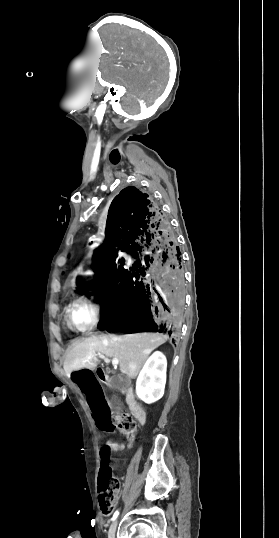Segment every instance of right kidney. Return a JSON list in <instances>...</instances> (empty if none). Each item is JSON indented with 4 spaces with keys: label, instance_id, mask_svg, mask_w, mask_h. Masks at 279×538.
Listing matches in <instances>:
<instances>
[{
    "label": "right kidney",
    "instance_id": "ca27d5eb",
    "mask_svg": "<svg viewBox=\"0 0 279 538\" xmlns=\"http://www.w3.org/2000/svg\"><path fill=\"white\" fill-rule=\"evenodd\" d=\"M167 360L162 352H154L142 368L136 384V394L146 404L160 400L166 384Z\"/></svg>",
    "mask_w": 279,
    "mask_h": 538
}]
</instances>
